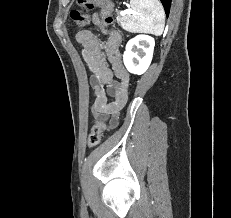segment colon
<instances>
[{
    "label": "colon",
    "instance_id": "1",
    "mask_svg": "<svg viewBox=\"0 0 231 218\" xmlns=\"http://www.w3.org/2000/svg\"><path fill=\"white\" fill-rule=\"evenodd\" d=\"M77 2L80 6L86 9L99 7L101 9V23L106 27L112 25V3L109 0H77ZM70 17L78 27L86 26L90 22L89 15L79 10H73L70 13ZM106 128V123L103 120H99L94 124L88 137L89 147H95L100 143L102 134Z\"/></svg>",
    "mask_w": 231,
    "mask_h": 218
}]
</instances>
